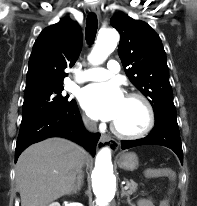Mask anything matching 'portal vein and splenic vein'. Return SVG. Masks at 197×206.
Instances as JSON below:
<instances>
[{"label":"portal vein and splenic vein","instance_id":"18ae733b","mask_svg":"<svg viewBox=\"0 0 197 206\" xmlns=\"http://www.w3.org/2000/svg\"><path fill=\"white\" fill-rule=\"evenodd\" d=\"M124 189L126 190V189H128V186L126 185V186H124Z\"/></svg>","mask_w":197,"mask_h":206}]
</instances>
